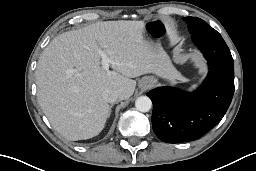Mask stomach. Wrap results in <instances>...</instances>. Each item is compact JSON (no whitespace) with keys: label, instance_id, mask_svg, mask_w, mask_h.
I'll list each match as a JSON object with an SVG mask.
<instances>
[{"label":"stomach","instance_id":"obj_1","mask_svg":"<svg viewBox=\"0 0 256 171\" xmlns=\"http://www.w3.org/2000/svg\"><path fill=\"white\" fill-rule=\"evenodd\" d=\"M152 47L153 52L156 55V59L160 60L165 53L161 46L157 43H154L153 41H149ZM168 58V57H167ZM163 78H166L169 82L173 83L174 79L172 76H170L168 73H165V76ZM146 79H149L153 84L157 82L156 78L154 76L147 77Z\"/></svg>","mask_w":256,"mask_h":171}]
</instances>
